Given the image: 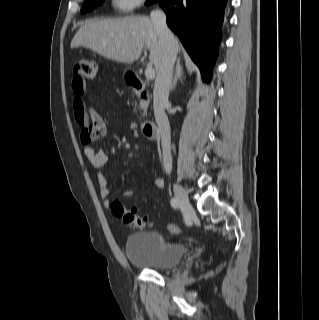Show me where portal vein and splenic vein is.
I'll return each instance as SVG.
<instances>
[{
    "instance_id": "portal-vein-and-splenic-vein-1",
    "label": "portal vein and splenic vein",
    "mask_w": 319,
    "mask_h": 320,
    "mask_svg": "<svg viewBox=\"0 0 319 320\" xmlns=\"http://www.w3.org/2000/svg\"><path fill=\"white\" fill-rule=\"evenodd\" d=\"M145 76L147 79H153L155 76V70L152 66H147L145 70Z\"/></svg>"
}]
</instances>
